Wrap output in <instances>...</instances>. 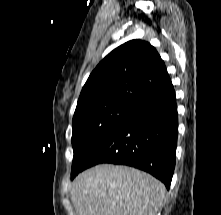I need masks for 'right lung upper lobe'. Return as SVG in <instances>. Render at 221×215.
<instances>
[{
    "mask_svg": "<svg viewBox=\"0 0 221 215\" xmlns=\"http://www.w3.org/2000/svg\"><path fill=\"white\" fill-rule=\"evenodd\" d=\"M170 84L156 49L148 42L131 40L114 49L92 71L77 106L109 100L135 105Z\"/></svg>",
    "mask_w": 221,
    "mask_h": 215,
    "instance_id": "right-lung-upper-lobe-1",
    "label": "right lung upper lobe"
}]
</instances>
